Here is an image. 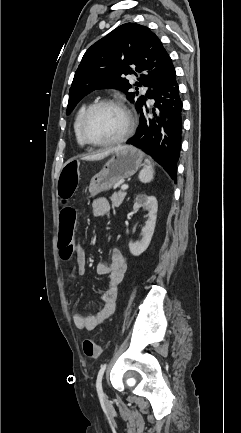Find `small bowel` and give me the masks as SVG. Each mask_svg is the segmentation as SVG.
I'll use <instances>...</instances> for the list:
<instances>
[{
  "mask_svg": "<svg viewBox=\"0 0 241 433\" xmlns=\"http://www.w3.org/2000/svg\"><path fill=\"white\" fill-rule=\"evenodd\" d=\"M91 208L96 217H102L109 213L110 204L105 198H96L93 200ZM85 266V251L80 248V250L77 251V271L80 275L85 273ZM126 270L127 263L118 249H113L111 251L109 263L97 264V274L108 277L107 286L101 295V308L96 313L87 316L75 313L73 315V322L78 329L93 332L98 326L103 324L112 316L116 308L118 289Z\"/></svg>",
  "mask_w": 241,
  "mask_h": 433,
  "instance_id": "small-bowel-1",
  "label": "small bowel"
}]
</instances>
